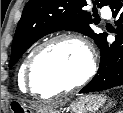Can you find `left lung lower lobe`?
<instances>
[{
  "instance_id": "0a47b994",
  "label": "left lung lower lobe",
  "mask_w": 123,
  "mask_h": 113,
  "mask_svg": "<svg viewBox=\"0 0 123 113\" xmlns=\"http://www.w3.org/2000/svg\"><path fill=\"white\" fill-rule=\"evenodd\" d=\"M108 5L113 17L117 18L116 41L109 45L106 35L100 43L98 47L101 60L98 72L79 93L102 91L123 85V0H111Z\"/></svg>"
}]
</instances>
